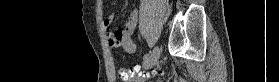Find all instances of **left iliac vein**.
<instances>
[{"instance_id": "1", "label": "left iliac vein", "mask_w": 279, "mask_h": 82, "mask_svg": "<svg viewBox=\"0 0 279 82\" xmlns=\"http://www.w3.org/2000/svg\"><path fill=\"white\" fill-rule=\"evenodd\" d=\"M160 49L158 46H155L150 53V56L147 61L143 63L144 69L152 68L159 60Z\"/></svg>"}]
</instances>
